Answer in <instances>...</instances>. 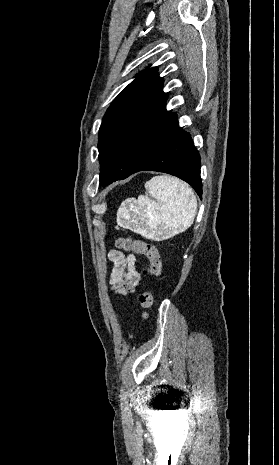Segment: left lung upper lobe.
Wrapping results in <instances>:
<instances>
[{
    "label": "left lung upper lobe",
    "mask_w": 279,
    "mask_h": 465,
    "mask_svg": "<svg viewBox=\"0 0 279 465\" xmlns=\"http://www.w3.org/2000/svg\"><path fill=\"white\" fill-rule=\"evenodd\" d=\"M162 87L157 68H148L106 111L98 142L102 185L131 175L177 126V115L166 110L167 93Z\"/></svg>",
    "instance_id": "obj_1"
}]
</instances>
